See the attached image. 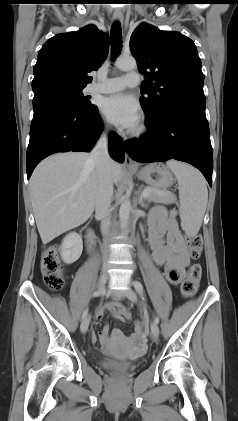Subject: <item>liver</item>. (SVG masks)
Listing matches in <instances>:
<instances>
[{
	"label": "liver",
	"instance_id": "1",
	"mask_svg": "<svg viewBox=\"0 0 238 421\" xmlns=\"http://www.w3.org/2000/svg\"><path fill=\"white\" fill-rule=\"evenodd\" d=\"M85 152L49 156L35 168L29 183L33 213L43 244L76 228L92 215L98 188L95 165ZM112 183L122 166L110 159Z\"/></svg>",
	"mask_w": 238,
	"mask_h": 421
}]
</instances>
